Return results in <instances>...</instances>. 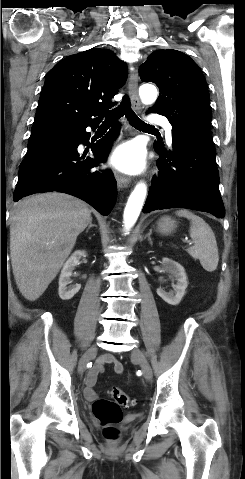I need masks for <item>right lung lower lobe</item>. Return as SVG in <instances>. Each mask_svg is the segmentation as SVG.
<instances>
[{"label":"right lung lower lobe","mask_w":245,"mask_h":479,"mask_svg":"<svg viewBox=\"0 0 245 479\" xmlns=\"http://www.w3.org/2000/svg\"><path fill=\"white\" fill-rule=\"evenodd\" d=\"M100 120L83 125L55 129L29 142L28 151L20 164L19 179L13 199L18 201L34 193L57 191L76 196L108 215L117 196V183L110 170L91 172L105 162L112 142L119 134L116 124L91 147L92 157L79 154V144L89 142L90 126L95 130Z\"/></svg>","instance_id":"obj_1"}]
</instances>
